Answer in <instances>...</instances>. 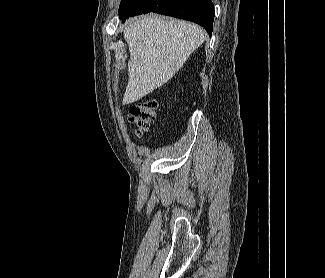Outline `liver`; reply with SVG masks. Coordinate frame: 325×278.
I'll return each mask as SVG.
<instances>
[{"label": "liver", "mask_w": 325, "mask_h": 278, "mask_svg": "<svg viewBox=\"0 0 325 278\" xmlns=\"http://www.w3.org/2000/svg\"><path fill=\"white\" fill-rule=\"evenodd\" d=\"M124 39L130 60L122 103L130 104L171 79L206 37L197 25L147 15L129 23Z\"/></svg>", "instance_id": "1"}]
</instances>
